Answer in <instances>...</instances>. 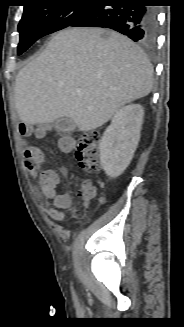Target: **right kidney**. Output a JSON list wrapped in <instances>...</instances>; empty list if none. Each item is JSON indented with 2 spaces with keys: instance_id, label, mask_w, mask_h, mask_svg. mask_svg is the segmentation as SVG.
<instances>
[{
  "instance_id": "right-kidney-1",
  "label": "right kidney",
  "mask_w": 184,
  "mask_h": 327,
  "mask_svg": "<svg viewBox=\"0 0 184 327\" xmlns=\"http://www.w3.org/2000/svg\"><path fill=\"white\" fill-rule=\"evenodd\" d=\"M144 111L139 104L119 109L100 142V162L105 173L116 177L130 164L140 140Z\"/></svg>"
}]
</instances>
